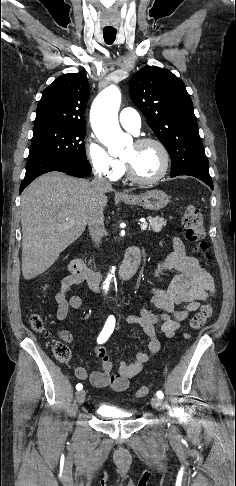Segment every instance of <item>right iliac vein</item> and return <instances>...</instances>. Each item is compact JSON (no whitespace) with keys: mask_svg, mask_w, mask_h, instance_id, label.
Listing matches in <instances>:
<instances>
[{"mask_svg":"<svg viewBox=\"0 0 236 486\" xmlns=\"http://www.w3.org/2000/svg\"><path fill=\"white\" fill-rule=\"evenodd\" d=\"M86 393L84 390L77 392L76 399L79 404H83L85 401Z\"/></svg>","mask_w":236,"mask_h":486,"instance_id":"obj_1","label":"right iliac vein"}]
</instances>
